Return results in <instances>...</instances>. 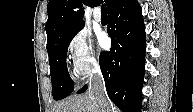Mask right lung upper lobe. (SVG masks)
I'll use <instances>...</instances> for the list:
<instances>
[{"label": "right lung upper lobe", "mask_w": 193, "mask_h": 112, "mask_svg": "<svg viewBox=\"0 0 193 112\" xmlns=\"http://www.w3.org/2000/svg\"><path fill=\"white\" fill-rule=\"evenodd\" d=\"M122 0H105L108 13ZM97 0H50L46 22L47 44L61 32L84 25L82 4L95 6Z\"/></svg>", "instance_id": "1"}]
</instances>
